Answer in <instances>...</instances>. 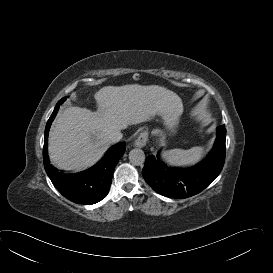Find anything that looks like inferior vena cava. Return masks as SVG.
I'll use <instances>...</instances> for the list:
<instances>
[{"label": "inferior vena cava", "instance_id": "1", "mask_svg": "<svg viewBox=\"0 0 273 273\" xmlns=\"http://www.w3.org/2000/svg\"><path fill=\"white\" fill-rule=\"evenodd\" d=\"M122 137H123V134L121 133L120 130H113L108 135V138L112 142H117V141L121 140Z\"/></svg>", "mask_w": 273, "mask_h": 273}]
</instances>
